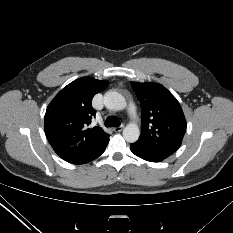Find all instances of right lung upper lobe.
<instances>
[{"instance_id": "obj_1", "label": "right lung upper lobe", "mask_w": 233, "mask_h": 233, "mask_svg": "<svg viewBox=\"0 0 233 233\" xmlns=\"http://www.w3.org/2000/svg\"><path fill=\"white\" fill-rule=\"evenodd\" d=\"M107 85V81L82 77L64 87L49 104L45 134L54 151L65 161L75 164L87 158L109 138L102 128L87 127L95 116L92 99Z\"/></svg>"}]
</instances>
